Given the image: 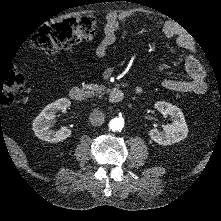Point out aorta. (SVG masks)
Wrapping results in <instances>:
<instances>
[{
	"instance_id": "1",
	"label": "aorta",
	"mask_w": 221,
	"mask_h": 221,
	"mask_svg": "<svg viewBox=\"0 0 221 221\" xmlns=\"http://www.w3.org/2000/svg\"><path fill=\"white\" fill-rule=\"evenodd\" d=\"M124 127V119L115 117L109 122V129L112 131H120Z\"/></svg>"
}]
</instances>
